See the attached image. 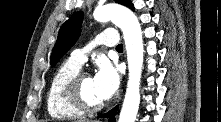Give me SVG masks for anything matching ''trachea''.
Here are the masks:
<instances>
[{"label": "trachea", "mask_w": 221, "mask_h": 122, "mask_svg": "<svg viewBox=\"0 0 221 122\" xmlns=\"http://www.w3.org/2000/svg\"><path fill=\"white\" fill-rule=\"evenodd\" d=\"M122 48H123L122 44H119V45H117V47H116L117 50H122Z\"/></svg>", "instance_id": "obj_1"}]
</instances>
